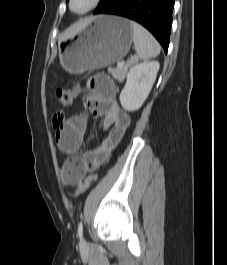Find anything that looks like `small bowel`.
<instances>
[{
	"mask_svg": "<svg viewBox=\"0 0 227 265\" xmlns=\"http://www.w3.org/2000/svg\"><path fill=\"white\" fill-rule=\"evenodd\" d=\"M87 88V106L93 115L103 118L107 136L100 146L84 152L79 157L80 164L73 169L71 180L64 179L69 185L80 183L87 172L102 166L120 143L131 123L129 114L121 110L116 102V88L108 75L95 73L89 79ZM86 127L87 116L85 114L73 115L61 124L55 135L60 151L67 155L77 154L82 146Z\"/></svg>",
	"mask_w": 227,
	"mask_h": 265,
	"instance_id": "c3829d8e",
	"label": "small bowel"
}]
</instances>
